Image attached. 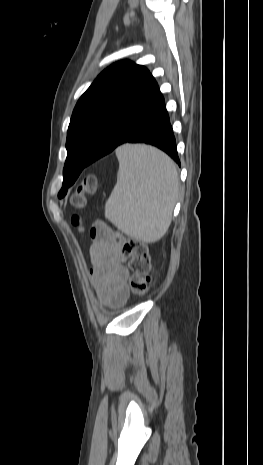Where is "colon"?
Wrapping results in <instances>:
<instances>
[{
  "label": "colon",
  "instance_id": "1",
  "mask_svg": "<svg viewBox=\"0 0 263 465\" xmlns=\"http://www.w3.org/2000/svg\"><path fill=\"white\" fill-rule=\"evenodd\" d=\"M99 186L100 181L95 174L85 175L71 196V205L76 209L83 208L86 204L87 196L96 193ZM72 223L76 227H82V221L78 215L72 217ZM95 226L105 228L102 224ZM119 239L121 242V254L129 259V268L132 272L129 279L130 290L136 296H143L147 292L150 282L149 273L151 265L148 248L144 243L135 239L121 237Z\"/></svg>",
  "mask_w": 263,
  "mask_h": 465
}]
</instances>
